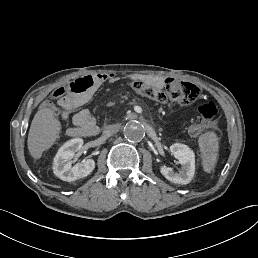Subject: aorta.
I'll use <instances>...</instances> for the list:
<instances>
[{
    "label": "aorta",
    "instance_id": "obj_1",
    "mask_svg": "<svg viewBox=\"0 0 258 258\" xmlns=\"http://www.w3.org/2000/svg\"><path fill=\"white\" fill-rule=\"evenodd\" d=\"M123 133L130 142H140L145 136L144 127L138 121L128 122L124 127Z\"/></svg>",
    "mask_w": 258,
    "mask_h": 258
}]
</instances>
